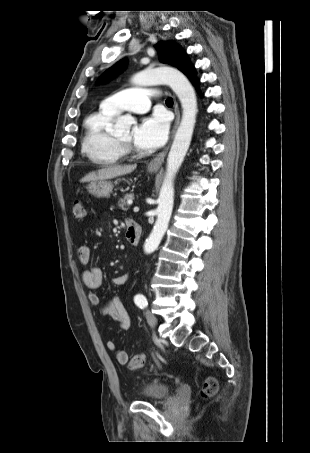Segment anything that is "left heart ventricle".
<instances>
[{"mask_svg": "<svg viewBox=\"0 0 310 453\" xmlns=\"http://www.w3.org/2000/svg\"><path fill=\"white\" fill-rule=\"evenodd\" d=\"M118 139H120L121 141H124V142H131V139H132V132L131 130L127 131L125 134L117 137Z\"/></svg>", "mask_w": 310, "mask_h": 453, "instance_id": "obj_1", "label": "left heart ventricle"}]
</instances>
